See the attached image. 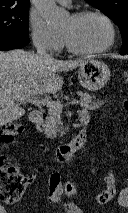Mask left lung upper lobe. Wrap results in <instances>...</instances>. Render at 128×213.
<instances>
[{
    "label": "left lung upper lobe",
    "mask_w": 128,
    "mask_h": 213,
    "mask_svg": "<svg viewBox=\"0 0 128 213\" xmlns=\"http://www.w3.org/2000/svg\"><path fill=\"white\" fill-rule=\"evenodd\" d=\"M106 14L119 27L123 44L121 51H128V0H86Z\"/></svg>",
    "instance_id": "left-lung-upper-lobe-1"
}]
</instances>
